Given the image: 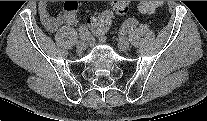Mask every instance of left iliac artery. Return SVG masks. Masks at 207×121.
<instances>
[{
  "label": "left iliac artery",
  "mask_w": 207,
  "mask_h": 121,
  "mask_svg": "<svg viewBox=\"0 0 207 121\" xmlns=\"http://www.w3.org/2000/svg\"><path fill=\"white\" fill-rule=\"evenodd\" d=\"M137 23V20L134 17H131L129 21L124 22L121 25V34L126 36L130 32V28Z\"/></svg>",
  "instance_id": "left-iliac-artery-1"
}]
</instances>
